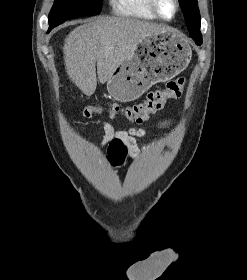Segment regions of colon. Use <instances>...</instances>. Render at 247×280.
<instances>
[{
	"label": "colon",
	"mask_w": 247,
	"mask_h": 280,
	"mask_svg": "<svg viewBox=\"0 0 247 280\" xmlns=\"http://www.w3.org/2000/svg\"><path fill=\"white\" fill-rule=\"evenodd\" d=\"M185 80L178 78L169 81L164 89L154 90L147 94L145 100L141 103L120 107L117 104L109 105L111 115L122 114L130 122L141 124L148 120L149 116L164 106L170 99H178L184 91ZM100 106H87L84 109V115L91 117L93 114L101 112ZM127 155V149L119 140H113L108 147V158L113 165H121Z\"/></svg>",
	"instance_id": "colon-1"
}]
</instances>
